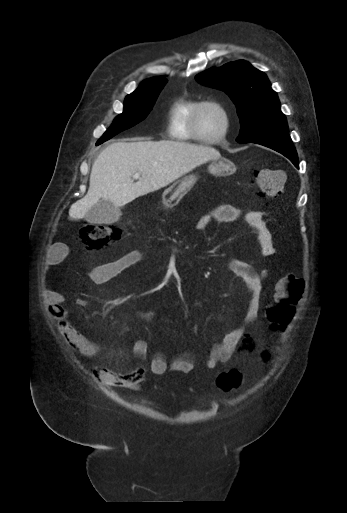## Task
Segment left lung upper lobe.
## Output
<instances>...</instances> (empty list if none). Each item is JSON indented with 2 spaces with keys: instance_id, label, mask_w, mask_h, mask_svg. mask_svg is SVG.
<instances>
[{
  "instance_id": "5c2ea615",
  "label": "left lung upper lobe",
  "mask_w": 347,
  "mask_h": 513,
  "mask_svg": "<svg viewBox=\"0 0 347 513\" xmlns=\"http://www.w3.org/2000/svg\"><path fill=\"white\" fill-rule=\"evenodd\" d=\"M200 83L223 90L237 107L240 118L239 143H248L277 134H288L285 115L267 76L239 60L197 75Z\"/></svg>"
}]
</instances>
